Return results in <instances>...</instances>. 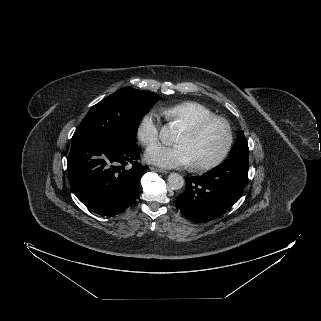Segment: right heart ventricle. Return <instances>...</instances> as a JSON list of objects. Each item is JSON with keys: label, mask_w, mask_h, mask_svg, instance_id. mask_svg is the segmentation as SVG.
I'll return each instance as SVG.
<instances>
[{"label": "right heart ventricle", "mask_w": 321, "mask_h": 321, "mask_svg": "<svg viewBox=\"0 0 321 321\" xmlns=\"http://www.w3.org/2000/svg\"><path fill=\"white\" fill-rule=\"evenodd\" d=\"M166 119L171 123H179L183 127L196 121L214 116V112L196 101H185L161 109Z\"/></svg>", "instance_id": "obj_1"}]
</instances>
